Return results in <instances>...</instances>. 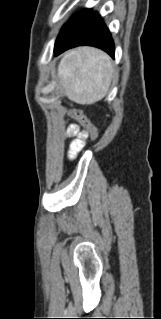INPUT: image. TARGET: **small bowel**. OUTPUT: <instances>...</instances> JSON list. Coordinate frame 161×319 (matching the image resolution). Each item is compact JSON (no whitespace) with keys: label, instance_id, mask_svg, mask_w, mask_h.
Returning <instances> with one entry per match:
<instances>
[{"label":"small bowel","instance_id":"obj_1","mask_svg":"<svg viewBox=\"0 0 161 319\" xmlns=\"http://www.w3.org/2000/svg\"><path fill=\"white\" fill-rule=\"evenodd\" d=\"M67 136L71 138L69 144L68 155L70 158H73L77 151L82 147L85 140V133L79 128L75 123H68L67 125Z\"/></svg>","mask_w":161,"mask_h":319}]
</instances>
